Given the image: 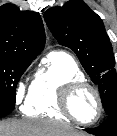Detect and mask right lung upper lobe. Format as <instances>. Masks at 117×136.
Here are the masks:
<instances>
[{"mask_svg": "<svg viewBox=\"0 0 117 136\" xmlns=\"http://www.w3.org/2000/svg\"><path fill=\"white\" fill-rule=\"evenodd\" d=\"M45 45L42 19L12 4L0 7V57L34 60Z\"/></svg>", "mask_w": 117, "mask_h": 136, "instance_id": "obj_1", "label": "right lung upper lobe"}]
</instances>
